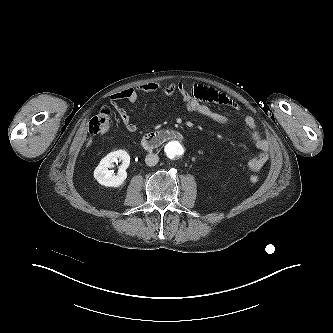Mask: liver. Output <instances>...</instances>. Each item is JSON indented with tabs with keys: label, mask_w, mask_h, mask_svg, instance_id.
Returning <instances> with one entry per match:
<instances>
[{
	"label": "liver",
	"mask_w": 333,
	"mask_h": 333,
	"mask_svg": "<svg viewBox=\"0 0 333 333\" xmlns=\"http://www.w3.org/2000/svg\"><path fill=\"white\" fill-rule=\"evenodd\" d=\"M91 143H92V139H90V140L88 141V143H87V148L91 145Z\"/></svg>",
	"instance_id": "1"
}]
</instances>
